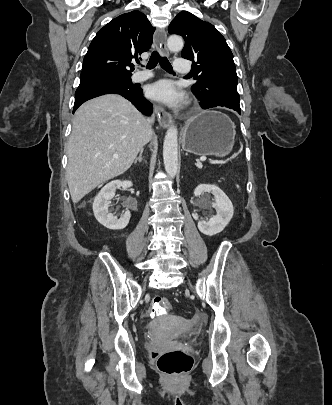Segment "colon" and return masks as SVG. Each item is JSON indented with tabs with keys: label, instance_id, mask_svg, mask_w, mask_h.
<instances>
[{
	"label": "colon",
	"instance_id": "colon-1",
	"mask_svg": "<svg viewBox=\"0 0 332 405\" xmlns=\"http://www.w3.org/2000/svg\"><path fill=\"white\" fill-rule=\"evenodd\" d=\"M170 301L164 296H155L151 302V313L163 315L168 312ZM157 368L169 376H180L187 373L193 366L192 354L183 348L159 352L155 354Z\"/></svg>",
	"mask_w": 332,
	"mask_h": 405
}]
</instances>
